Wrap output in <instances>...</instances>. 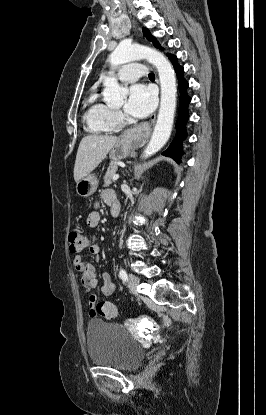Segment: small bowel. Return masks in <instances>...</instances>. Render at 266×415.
I'll use <instances>...</instances> for the list:
<instances>
[{"label": "small bowel", "instance_id": "obj_1", "mask_svg": "<svg viewBox=\"0 0 266 415\" xmlns=\"http://www.w3.org/2000/svg\"><path fill=\"white\" fill-rule=\"evenodd\" d=\"M101 198L103 202L108 204L111 207L112 213L116 214L119 209V204L116 198V194L112 189H105L101 193ZM99 203H95V208L88 214L87 216V225L91 228L96 227L100 221V214L98 211ZM89 253L98 258L100 253V246L96 242H92L89 245ZM72 263L74 268L81 274V282L85 288L88 290H93L97 286V279H96V269L95 266L91 263H85L82 260L81 255H75L72 259ZM103 278V285L101 287V292L105 296H109L114 293L116 287L114 283L111 281V278L108 273H104L102 275ZM97 297L95 294H90L88 298V305L90 309V315L94 316L93 313L94 306L96 304Z\"/></svg>", "mask_w": 266, "mask_h": 415}]
</instances>
